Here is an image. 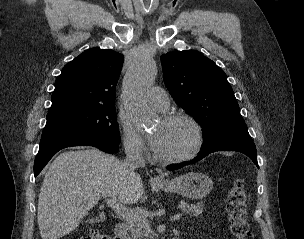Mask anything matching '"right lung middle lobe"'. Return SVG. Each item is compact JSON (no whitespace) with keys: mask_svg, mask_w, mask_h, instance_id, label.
Returning a JSON list of instances; mask_svg holds the SVG:
<instances>
[{"mask_svg":"<svg viewBox=\"0 0 304 239\" xmlns=\"http://www.w3.org/2000/svg\"><path fill=\"white\" fill-rule=\"evenodd\" d=\"M46 118L42 138L80 135L121 141L115 105L72 108L48 113Z\"/></svg>","mask_w":304,"mask_h":239,"instance_id":"1","label":"right lung middle lobe"}]
</instances>
